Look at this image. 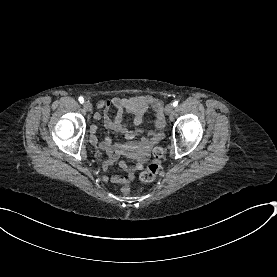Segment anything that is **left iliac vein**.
I'll return each mask as SVG.
<instances>
[{"label":"left iliac vein","instance_id":"obj_1","mask_svg":"<svg viewBox=\"0 0 277 277\" xmlns=\"http://www.w3.org/2000/svg\"><path fill=\"white\" fill-rule=\"evenodd\" d=\"M172 112H173V106H172V104L166 105V107H165V113H166L167 115H169V114H171Z\"/></svg>","mask_w":277,"mask_h":277}]
</instances>
